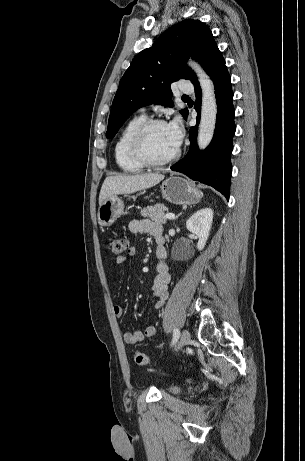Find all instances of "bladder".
I'll return each mask as SVG.
<instances>
[{
  "label": "bladder",
  "instance_id": "bladder-1",
  "mask_svg": "<svg viewBox=\"0 0 305 461\" xmlns=\"http://www.w3.org/2000/svg\"><path fill=\"white\" fill-rule=\"evenodd\" d=\"M182 388L179 385H171L167 388V392L170 394H177L181 392Z\"/></svg>",
  "mask_w": 305,
  "mask_h": 461
}]
</instances>
